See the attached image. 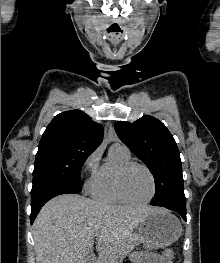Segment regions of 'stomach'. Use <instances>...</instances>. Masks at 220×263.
Here are the masks:
<instances>
[{
  "mask_svg": "<svg viewBox=\"0 0 220 263\" xmlns=\"http://www.w3.org/2000/svg\"><path fill=\"white\" fill-rule=\"evenodd\" d=\"M181 234L182 226L178 218L164 209L150 213L139 226L140 240L150 249L167 247Z\"/></svg>",
  "mask_w": 220,
  "mask_h": 263,
  "instance_id": "1",
  "label": "stomach"
}]
</instances>
